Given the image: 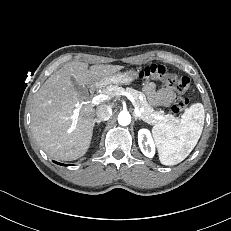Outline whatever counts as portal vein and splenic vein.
<instances>
[{"mask_svg": "<svg viewBox=\"0 0 231 231\" xmlns=\"http://www.w3.org/2000/svg\"><path fill=\"white\" fill-rule=\"evenodd\" d=\"M122 95L124 96H127L133 103V105L135 106V114L139 117H141V113L143 112V109H139L137 106H136V101L135 99L128 93L124 92ZM109 99V96L108 95H105V94H99V95H96L94 96L92 99H91V103L90 102H87L89 104H94V105H97L105 100ZM78 117H79V109H75L74 112H73V115L71 117L73 123L70 127V131L74 130L76 125H77V121H78Z\"/></svg>", "mask_w": 231, "mask_h": 231, "instance_id": "1", "label": "portal vein and splenic vein"}]
</instances>
